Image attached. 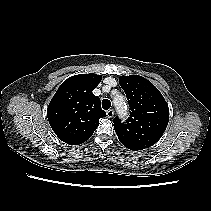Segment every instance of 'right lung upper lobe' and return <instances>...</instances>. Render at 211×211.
Instances as JSON below:
<instances>
[{"label":"right lung upper lobe","mask_w":211,"mask_h":211,"mask_svg":"<svg viewBox=\"0 0 211 211\" xmlns=\"http://www.w3.org/2000/svg\"><path fill=\"white\" fill-rule=\"evenodd\" d=\"M102 76L80 74L62 83L47 109L49 124L60 140L79 145L88 140L106 113L101 109L99 97L92 91Z\"/></svg>","instance_id":"1"}]
</instances>
